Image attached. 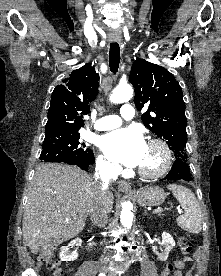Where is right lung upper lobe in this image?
Listing matches in <instances>:
<instances>
[{"label": "right lung upper lobe", "mask_w": 221, "mask_h": 276, "mask_svg": "<svg viewBox=\"0 0 221 276\" xmlns=\"http://www.w3.org/2000/svg\"><path fill=\"white\" fill-rule=\"evenodd\" d=\"M98 81L99 75L87 63L56 86L51 96L45 133L78 132L84 126L83 115L90 112L89 103L97 96Z\"/></svg>", "instance_id": "cb5924a9"}]
</instances>
